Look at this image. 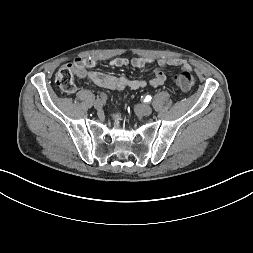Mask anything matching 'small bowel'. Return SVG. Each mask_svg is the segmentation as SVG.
<instances>
[{"label": "small bowel", "instance_id": "obj_1", "mask_svg": "<svg viewBox=\"0 0 253 253\" xmlns=\"http://www.w3.org/2000/svg\"><path fill=\"white\" fill-rule=\"evenodd\" d=\"M152 61V59L141 57H136L132 59H127L125 57H115L108 61V66L112 68H119L130 65L134 68L141 69L150 64ZM97 63L98 60L93 57L77 58L74 62V66L76 67V73L78 77L87 79L89 82L97 86L110 90H136L147 86L156 88L166 82V76L161 68L170 66L178 67L182 70L190 69L189 63L184 59L161 58L157 61L159 68L153 70L152 78L146 80H130L126 77H118L101 72L107 69V64L105 62H100L98 64V69L100 71L90 70V68L95 67Z\"/></svg>", "mask_w": 253, "mask_h": 253}]
</instances>
